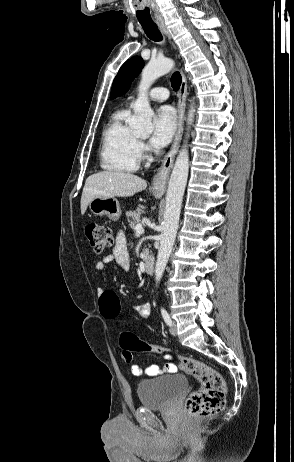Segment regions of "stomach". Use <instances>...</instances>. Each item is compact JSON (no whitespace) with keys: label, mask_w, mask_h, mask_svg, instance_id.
<instances>
[{"label":"stomach","mask_w":294,"mask_h":462,"mask_svg":"<svg viewBox=\"0 0 294 462\" xmlns=\"http://www.w3.org/2000/svg\"><path fill=\"white\" fill-rule=\"evenodd\" d=\"M156 198L161 196L159 192H153ZM89 210L96 216L106 215L110 220L117 221L121 216L119 201L115 197H96L89 203Z\"/></svg>","instance_id":"stomach-1"}]
</instances>
